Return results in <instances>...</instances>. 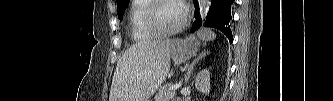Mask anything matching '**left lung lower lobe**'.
<instances>
[{"label": "left lung lower lobe", "mask_w": 333, "mask_h": 101, "mask_svg": "<svg viewBox=\"0 0 333 101\" xmlns=\"http://www.w3.org/2000/svg\"><path fill=\"white\" fill-rule=\"evenodd\" d=\"M196 5V20L191 27V32L196 31L200 26L199 8L197 0H194ZM234 0H211V6L208 11L205 26L213 27L221 30L229 39L233 41L232 33L230 30L229 22L231 20V5Z\"/></svg>", "instance_id": "0a47b994"}]
</instances>
